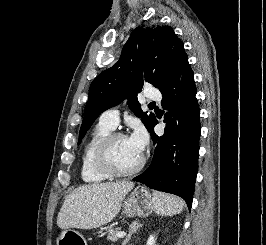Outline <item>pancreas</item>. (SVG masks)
Wrapping results in <instances>:
<instances>
[{"label": "pancreas", "instance_id": "pancreas-1", "mask_svg": "<svg viewBox=\"0 0 266 245\" xmlns=\"http://www.w3.org/2000/svg\"><path fill=\"white\" fill-rule=\"evenodd\" d=\"M118 233H122V231L120 229H111L108 233L107 241H111V243L119 241V237H117Z\"/></svg>", "mask_w": 266, "mask_h": 245}]
</instances>
